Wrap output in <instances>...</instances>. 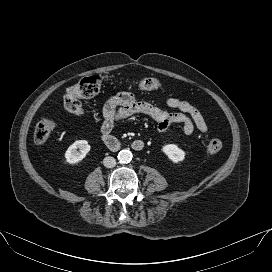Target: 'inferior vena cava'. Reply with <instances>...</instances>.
Segmentation results:
<instances>
[{
	"label": "inferior vena cava",
	"instance_id": "inferior-vena-cava-1",
	"mask_svg": "<svg viewBox=\"0 0 272 272\" xmlns=\"http://www.w3.org/2000/svg\"><path fill=\"white\" fill-rule=\"evenodd\" d=\"M103 164L107 168H113L116 165V160L114 157L108 156L103 159Z\"/></svg>",
	"mask_w": 272,
	"mask_h": 272
}]
</instances>
